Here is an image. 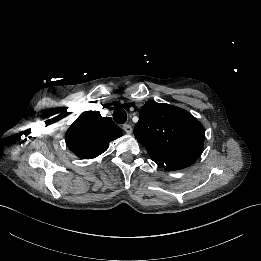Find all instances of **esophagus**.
Wrapping results in <instances>:
<instances>
[{"instance_id":"obj_1","label":"esophagus","mask_w":261,"mask_h":261,"mask_svg":"<svg viewBox=\"0 0 261 261\" xmlns=\"http://www.w3.org/2000/svg\"><path fill=\"white\" fill-rule=\"evenodd\" d=\"M123 129L127 134H131L133 132V128L130 124L123 125Z\"/></svg>"}]
</instances>
